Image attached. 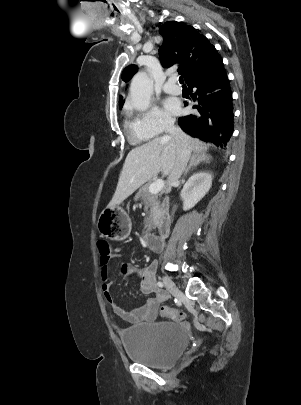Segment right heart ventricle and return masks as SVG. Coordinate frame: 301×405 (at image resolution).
<instances>
[{
    "label": "right heart ventricle",
    "mask_w": 301,
    "mask_h": 405,
    "mask_svg": "<svg viewBox=\"0 0 301 405\" xmlns=\"http://www.w3.org/2000/svg\"><path fill=\"white\" fill-rule=\"evenodd\" d=\"M124 128L129 140L136 144L148 141L152 137V135L142 129L137 118L133 116L130 110H126L125 112Z\"/></svg>",
    "instance_id": "e07e8e85"
}]
</instances>
